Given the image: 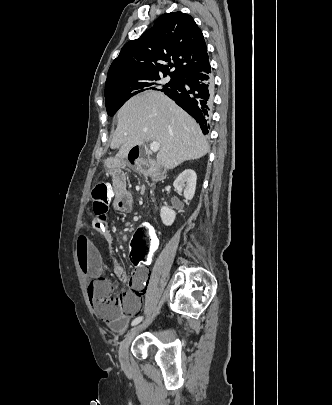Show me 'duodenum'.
<instances>
[{
    "label": "duodenum",
    "mask_w": 332,
    "mask_h": 405,
    "mask_svg": "<svg viewBox=\"0 0 332 405\" xmlns=\"http://www.w3.org/2000/svg\"><path fill=\"white\" fill-rule=\"evenodd\" d=\"M141 158V153L138 150H131L128 154V161L130 164H135ZM151 177L154 181H161L164 179V174L156 168L151 169Z\"/></svg>",
    "instance_id": "410a0bca"
}]
</instances>
